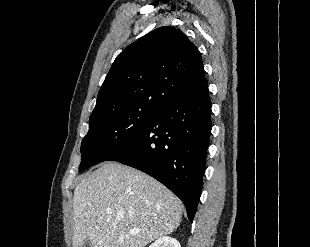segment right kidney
Returning <instances> with one entry per match:
<instances>
[{
  "mask_svg": "<svg viewBox=\"0 0 310 247\" xmlns=\"http://www.w3.org/2000/svg\"><path fill=\"white\" fill-rule=\"evenodd\" d=\"M149 247H181V245L175 238L163 236L157 239Z\"/></svg>",
  "mask_w": 310,
  "mask_h": 247,
  "instance_id": "ca27d5eb",
  "label": "right kidney"
}]
</instances>
